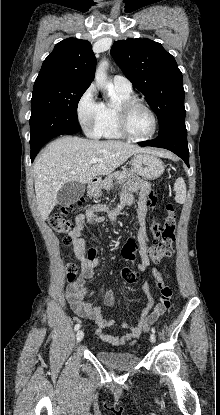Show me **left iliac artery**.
Segmentation results:
<instances>
[{
	"label": "left iliac artery",
	"mask_w": 220,
	"mask_h": 415,
	"mask_svg": "<svg viewBox=\"0 0 220 415\" xmlns=\"http://www.w3.org/2000/svg\"><path fill=\"white\" fill-rule=\"evenodd\" d=\"M151 331H152L153 333H155V332H156V331H155V328H153V327H152Z\"/></svg>",
	"instance_id": "1"
}]
</instances>
